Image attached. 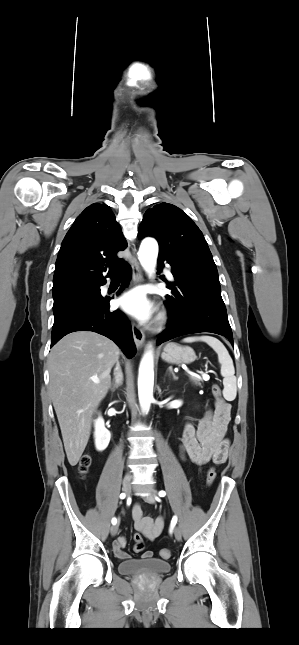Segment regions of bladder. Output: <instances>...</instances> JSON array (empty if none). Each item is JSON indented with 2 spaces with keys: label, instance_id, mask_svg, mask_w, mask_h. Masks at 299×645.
<instances>
[{
  "label": "bladder",
  "instance_id": "31cf9c89",
  "mask_svg": "<svg viewBox=\"0 0 299 645\" xmlns=\"http://www.w3.org/2000/svg\"><path fill=\"white\" fill-rule=\"evenodd\" d=\"M123 575H160L171 570V564L159 558L130 559L119 563Z\"/></svg>",
  "mask_w": 299,
  "mask_h": 645
}]
</instances>
